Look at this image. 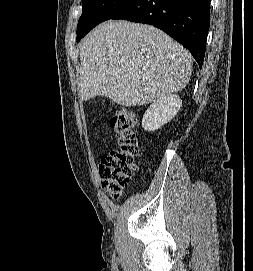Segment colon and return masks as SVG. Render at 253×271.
Segmentation results:
<instances>
[{
	"label": "colon",
	"instance_id": "5ec220e1",
	"mask_svg": "<svg viewBox=\"0 0 253 271\" xmlns=\"http://www.w3.org/2000/svg\"><path fill=\"white\" fill-rule=\"evenodd\" d=\"M118 148L102 156L99 175L102 187L118 197L131 180L138 165L139 145L135 133L136 116L127 109L118 110L111 118Z\"/></svg>",
	"mask_w": 253,
	"mask_h": 271
}]
</instances>
